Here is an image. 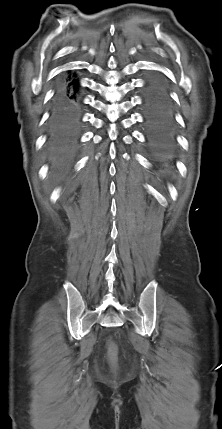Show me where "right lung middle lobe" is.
Instances as JSON below:
<instances>
[{
	"label": "right lung middle lobe",
	"mask_w": 222,
	"mask_h": 429,
	"mask_svg": "<svg viewBox=\"0 0 222 429\" xmlns=\"http://www.w3.org/2000/svg\"><path fill=\"white\" fill-rule=\"evenodd\" d=\"M50 128H51V133H52V141L55 144L60 143L61 141H63L68 136V134L60 131L59 129H57L53 126H51V124H50Z\"/></svg>",
	"instance_id": "right-lung-middle-lobe-1"
}]
</instances>
